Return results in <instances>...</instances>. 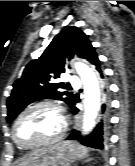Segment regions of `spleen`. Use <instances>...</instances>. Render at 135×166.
Listing matches in <instances>:
<instances>
[{
  "label": "spleen",
  "mask_w": 135,
  "mask_h": 166,
  "mask_svg": "<svg viewBox=\"0 0 135 166\" xmlns=\"http://www.w3.org/2000/svg\"><path fill=\"white\" fill-rule=\"evenodd\" d=\"M67 144L71 145L72 143H67ZM87 153H88V149L87 148H85L83 146H80V145H77V158L78 159L86 157Z\"/></svg>",
  "instance_id": "spleen-1"
}]
</instances>
